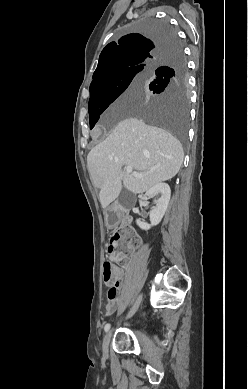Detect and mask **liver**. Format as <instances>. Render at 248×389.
<instances>
[{
    "label": "liver",
    "mask_w": 248,
    "mask_h": 389,
    "mask_svg": "<svg viewBox=\"0 0 248 389\" xmlns=\"http://www.w3.org/2000/svg\"><path fill=\"white\" fill-rule=\"evenodd\" d=\"M135 89L136 86L131 85L117 103L134 100ZM183 158L182 146L171 133L129 117L91 149L87 166L93 185L100 189V202L105 209L119 196L122 185L140 194L170 180L178 173ZM123 166H131L143 176L135 177L123 171Z\"/></svg>",
    "instance_id": "1"
}]
</instances>
